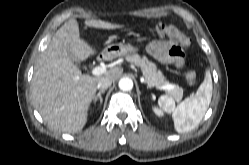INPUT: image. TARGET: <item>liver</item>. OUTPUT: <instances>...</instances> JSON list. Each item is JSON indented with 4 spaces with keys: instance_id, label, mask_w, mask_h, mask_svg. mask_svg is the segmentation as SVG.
<instances>
[{
    "instance_id": "6515ba94",
    "label": "liver",
    "mask_w": 249,
    "mask_h": 165,
    "mask_svg": "<svg viewBox=\"0 0 249 165\" xmlns=\"http://www.w3.org/2000/svg\"><path fill=\"white\" fill-rule=\"evenodd\" d=\"M85 25L99 29L122 27L91 19L85 20ZM68 52H72L79 62L97 53L94 47L80 38L76 19H70L60 27L37 60L31 96L35 108L48 126L62 132L76 133L87 122L98 82L102 78L116 81L122 75L123 68L115 67L98 76L82 75Z\"/></svg>"
}]
</instances>
